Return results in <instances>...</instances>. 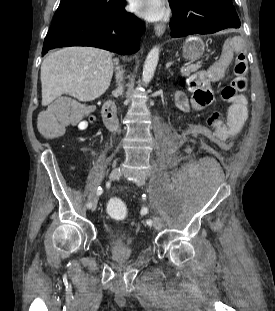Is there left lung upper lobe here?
Instances as JSON below:
<instances>
[{"instance_id":"obj_1","label":"left lung upper lobe","mask_w":275,"mask_h":311,"mask_svg":"<svg viewBox=\"0 0 275 311\" xmlns=\"http://www.w3.org/2000/svg\"><path fill=\"white\" fill-rule=\"evenodd\" d=\"M174 1H179V2H181V3H185V2H189V1H191V0H174ZM220 1L227 2V3L232 4V1H231V0H220Z\"/></svg>"}]
</instances>
